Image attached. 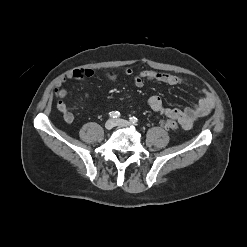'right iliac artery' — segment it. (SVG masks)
Returning a JSON list of instances; mask_svg holds the SVG:
<instances>
[{"label": "right iliac artery", "instance_id": "82829eb1", "mask_svg": "<svg viewBox=\"0 0 247 247\" xmlns=\"http://www.w3.org/2000/svg\"><path fill=\"white\" fill-rule=\"evenodd\" d=\"M109 116L111 118H118L120 116V113L118 111H112L109 113Z\"/></svg>", "mask_w": 247, "mask_h": 247}]
</instances>
